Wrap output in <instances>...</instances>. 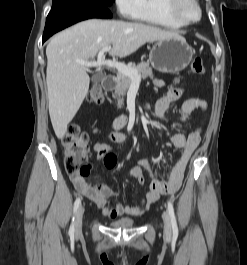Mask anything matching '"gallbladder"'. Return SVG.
Segmentation results:
<instances>
[{
	"label": "gallbladder",
	"instance_id": "bac80fb5",
	"mask_svg": "<svg viewBox=\"0 0 247 265\" xmlns=\"http://www.w3.org/2000/svg\"><path fill=\"white\" fill-rule=\"evenodd\" d=\"M92 82L93 83H98V82H100L101 81V79H102V76L101 75H99V74H96V75H94V76H92Z\"/></svg>",
	"mask_w": 247,
	"mask_h": 265
}]
</instances>
